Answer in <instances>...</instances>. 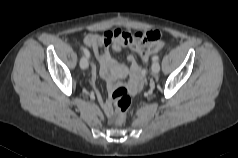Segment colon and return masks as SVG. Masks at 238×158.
<instances>
[{
  "label": "colon",
  "instance_id": "5ec220e1",
  "mask_svg": "<svg viewBox=\"0 0 238 158\" xmlns=\"http://www.w3.org/2000/svg\"><path fill=\"white\" fill-rule=\"evenodd\" d=\"M146 39L150 41V46L140 52L142 62H147L151 54L161 49L160 34H148ZM111 98L112 104L111 110L108 113V120L110 124L120 125L125 121L126 113L131 106L132 99L124 86L115 87L112 90Z\"/></svg>",
  "mask_w": 238,
  "mask_h": 158
}]
</instances>
